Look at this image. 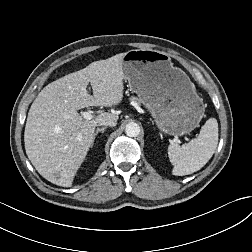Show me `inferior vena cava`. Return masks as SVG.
Instances as JSON below:
<instances>
[{
  "mask_svg": "<svg viewBox=\"0 0 252 252\" xmlns=\"http://www.w3.org/2000/svg\"><path fill=\"white\" fill-rule=\"evenodd\" d=\"M110 126V127H115L117 125V122L114 120H108V121H102L98 124V126Z\"/></svg>",
  "mask_w": 252,
  "mask_h": 252,
  "instance_id": "602c4592",
  "label": "inferior vena cava"
}]
</instances>
